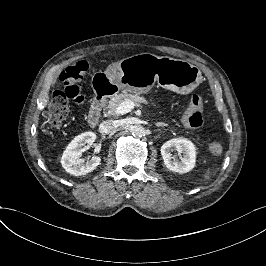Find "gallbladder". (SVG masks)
Masks as SVG:
<instances>
[{
    "instance_id": "gallbladder-1",
    "label": "gallbladder",
    "mask_w": 266,
    "mask_h": 266,
    "mask_svg": "<svg viewBox=\"0 0 266 266\" xmlns=\"http://www.w3.org/2000/svg\"><path fill=\"white\" fill-rule=\"evenodd\" d=\"M106 72L113 73L115 76L119 75V70L117 68H114L113 64L107 68Z\"/></svg>"
}]
</instances>
